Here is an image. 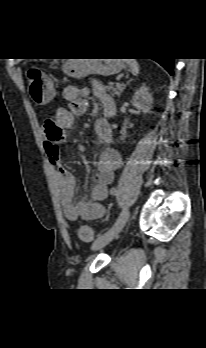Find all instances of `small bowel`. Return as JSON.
Listing matches in <instances>:
<instances>
[{
  "label": "small bowel",
  "instance_id": "c3829d8e",
  "mask_svg": "<svg viewBox=\"0 0 206 348\" xmlns=\"http://www.w3.org/2000/svg\"><path fill=\"white\" fill-rule=\"evenodd\" d=\"M93 93L105 109L113 107L112 99L101 85L96 84ZM63 97L68 102V106L59 107L55 117L47 120L44 126L43 149L53 173L54 184L66 219L72 222L79 219H97L103 215L102 202L107 196V189L113 181L114 172L121 165V157L114 149L103 151L95 171V183L91 187L89 198L75 201L76 178L62 168L60 149L64 144L66 132L73 127L75 116L87 110L89 92L85 88L69 85L63 89ZM95 131L98 135L112 134L110 124L104 118L95 122Z\"/></svg>",
  "mask_w": 206,
  "mask_h": 348
}]
</instances>
